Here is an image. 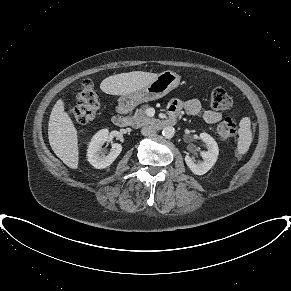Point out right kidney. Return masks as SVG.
Masks as SVG:
<instances>
[{
	"label": "right kidney",
	"mask_w": 291,
	"mask_h": 291,
	"mask_svg": "<svg viewBox=\"0 0 291 291\" xmlns=\"http://www.w3.org/2000/svg\"><path fill=\"white\" fill-rule=\"evenodd\" d=\"M108 130L103 129L96 133L88 146L87 158L89 163L97 169H104L110 166L122 151V146L113 143L110 152L105 155L101 152L102 145L108 141Z\"/></svg>",
	"instance_id": "obj_1"
}]
</instances>
